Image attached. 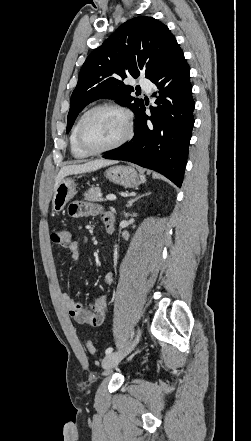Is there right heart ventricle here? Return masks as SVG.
Masks as SVG:
<instances>
[{"instance_id":"right-heart-ventricle-1","label":"right heart ventricle","mask_w":251,"mask_h":441,"mask_svg":"<svg viewBox=\"0 0 251 441\" xmlns=\"http://www.w3.org/2000/svg\"><path fill=\"white\" fill-rule=\"evenodd\" d=\"M78 123H79V120H77V122L75 123V125L71 131V134H70V138H69L70 148H71V153L75 158L85 159L89 155L80 149V147L77 144V140H76V132H77Z\"/></svg>"}]
</instances>
